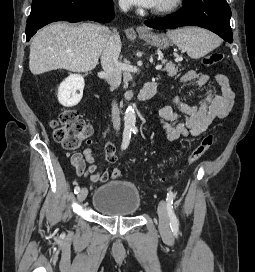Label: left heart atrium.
Returning a JSON list of instances; mask_svg holds the SVG:
<instances>
[{"mask_svg": "<svg viewBox=\"0 0 255 272\" xmlns=\"http://www.w3.org/2000/svg\"><path fill=\"white\" fill-rule=\"evenodd\" d=\"M130 3L145 7V8H153L157 2V0H128Z\"/></svg>", "mask_w": 255, "mask_h": 272, "instance_id": "1", "label": "left heart atrium"}]
</instances>
